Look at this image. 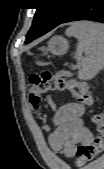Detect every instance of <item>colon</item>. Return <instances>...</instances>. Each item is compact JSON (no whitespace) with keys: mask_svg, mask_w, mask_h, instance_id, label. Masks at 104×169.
Returning a JSON list of instances; mask_svg holds the SVG:
<instances>
[{"mask_svg":"<svg viewBox=\"0 0 104 169\" xmlns=\"http://www.w3.org/2000/svg\"><path fill=\"white\" fill-rule=\"evenodd\" d=\"M29 81L28 98L35 109L40 106L44 95L63 90L70 91L78 102L90 108L93 107V97L84 82L66 80L62 74H53L48 70L32 74ZM92 121L98 130V134L90 143L78 147L76 152V164L78 166L94 160L104 149V123L101 115L94 113Z\"/></svg>","mask_w":104,"mask_h":169,"instance_id":"5ec220e1","label":"colon"}]
</instances>
